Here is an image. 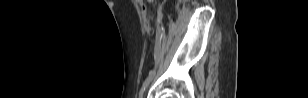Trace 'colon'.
<instances>
[{
    "mask_svg": "<svg viewBox=\"0 0 308 98\" xmlns=\"http://www.w3.org/2000/svg\"><path fill=\"white\" fill-rule=\"evenodd\" d=\"M140 11H141V16L143 19V23L145 25L146 31L151 34L153 32L151 24H150V17L149 14L147 12V8L144 5L143 2L140 3Z\"/></svg>",
    "mask_w": 308,
    "mask_h": 98,
    "instance_id": "obj_1",
    "label": "colon"
}]
</instances>
